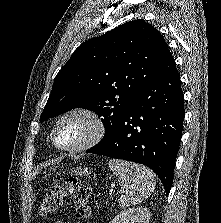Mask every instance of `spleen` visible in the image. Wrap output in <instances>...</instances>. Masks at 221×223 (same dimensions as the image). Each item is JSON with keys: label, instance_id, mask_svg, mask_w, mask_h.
Returning a JSON list of instances; mask_svg holds the SVG:
<instances>
[{"label": "spleen", "instance_id": "1", "mask_svg": "<svg viewBox=\"0 0 221 223\" xmlns=\"http://www.w3.org/2000/svg\"><path fill=\"white\" fill-rule=\"evenodd\" d=\"M108 164L123 190L118 201L122 208L141 203L154 191V175L145 166L118 159H112Z\"/></svg>", "mask_w": 221, "mask_h": 223}]
</instances>
